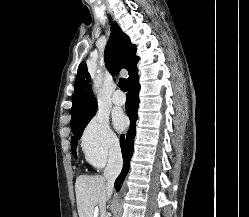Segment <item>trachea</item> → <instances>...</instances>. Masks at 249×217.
I'll list each match as a JSON object with an SVG mask.
<instances>
[{
	"label": "trachea",
	"instance_id": "obj_1",
	"mask_svg": "<svg viewBox=\"0 0 249 217\" xmlns=\"http://www.w3.org/2000/svg\"><path fill=\"white\" fill-rule=\"evenodd\" d=\"M118 86L120 87V89H121L122 91L126 92V91H127V86H128L127 80L124 79V78H121V79L119 80Z\"/></svg>",
	"mask_w": 249,
	"mask_h": 217
}]
</instances>
